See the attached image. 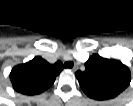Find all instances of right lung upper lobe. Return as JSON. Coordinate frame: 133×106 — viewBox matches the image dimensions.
<instances>
[{
  "label": "right lung upper lobe",
  "mask_w": 133,
  "mask_h": 106,
  "mask_svg": "<svg viewBox=\"0 0 133 106\" xmlns=\"http://www.w3.org/2000/svg\"><path fill=\"white\" fill-rule=\"evenodd\" d=\"M63 70L62 63L49 64L36 56L25 64L15 66L10 80L15 91L25 95H36L47 90Z\"/></svg>",
  "instance_id": "1"
}]
</instances>
